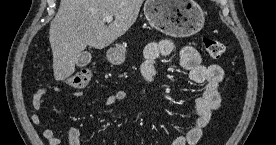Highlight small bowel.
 <instances>
[{"mask_svg":"<svg viewBox=\"0 0 276 145\" xmlns=\"http://www.w3.org/2000/svg\"><path fill=\"white\" fill-rule=\"evenodd\" d=\"M174 45L170 40L163 39L151 42L145 49L144 61L140 66V72L145 80L151 81L155 75V62L159 56H166L172 53ZM180 64L183 69L187 70L190 79L199 84H204L201 95L196 99V113L191 129L184 135L175 138L171 145H195L200 140L203 130L209 124L212 114L221 105V97L219 94V86L224 78V71L218 64H202V60L198 51L191 47L185 46L180 51ZM61 89L55 84H48L39 89L32 98V106L36 111L42 108L44 97L48 92H59ZM73 96L80 98L83 92L76 90ZM145 96V91H140V97ZM127 98V94L123 91L108 95L104 100V105L110 107L117 102ZM34 125H40L42 118L39 113H33L30 117ZM43 137L48 141L49 145H62L54 131L46 128ZM82 130L72 127L69 130V145H81Z\"/></svg>","mask_w":276,"mask_h":145,"instance_id":"1","label":"small bowel"}]
</instances>
